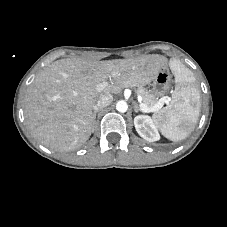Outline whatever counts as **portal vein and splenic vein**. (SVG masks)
Instances as JSON below:
<instances>
[{"label":"portal vein and splenic vein","instance_id":"obj_1","mask_svg":"<svg viewBox=\"0 0 227 227\" xmlns=\"http://www.w3.org/2000/svg\"><path fill=\"white\" fill-rule=\"evenodd\" d=\"M106 87V83H100L96 86V91L97 92H101L104 90V88ZM138 102H139V106L141 108V110L143 112H155L158 111L160 108H162V106L164 105V103L168 104L169 101L166 100L165 98H162L157 104H155L152 108H148L145 104H143L142 102V98L141 96H138Z\"/></svg>","mask_w":227,"mask_h":227}]
</instances>
